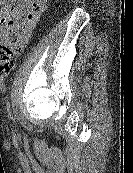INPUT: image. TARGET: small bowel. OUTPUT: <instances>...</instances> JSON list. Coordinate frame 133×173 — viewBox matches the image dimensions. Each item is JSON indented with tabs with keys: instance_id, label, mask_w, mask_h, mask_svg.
<instances>
[{
	"instance_id": "1",
	"label": "small bowel",
	"mask_w": 133,
	"mask_h": 173,
	"mask_svg": "<svg viewBox=\"0 0 133 173\" xmlns=\"http://www.w3.org/2000/svg\"><path fill=\"white\" fill-rule=\"evenodd\" d=\"M0 0V44L12 45L17 54L26 47L47 6V0Z\"/></svg>"
}]
</instances>
